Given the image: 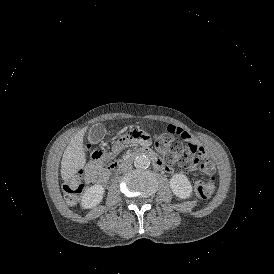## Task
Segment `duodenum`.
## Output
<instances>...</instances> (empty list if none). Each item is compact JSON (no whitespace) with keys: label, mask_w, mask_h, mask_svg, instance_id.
Returning a JSON list of instances; mask_svg holds the SVG:
<instances>
[{"label":"duodenum","mask_w":274,"mask_h":274,"mask_svg":"<svg viewBox=\"0 0 274 274\" xmlns=\"http://www.w3.org/2000/svg\"><path fill=\"white\" fill-rule=\"evenodd\" d=\"M139 156H145V157L150 158L156 169H160V170L165 169V165H164L163 161L158 157V155H156L152 150H150L148 148H143V149L137 150L122 159L112 162L109 165L108 169L110 172L114 173V172L118 171L121 167H123L124 165L132 162L135 158H137Z\"/></svg>","instance_id":"410a0bca"}]
</instances>
